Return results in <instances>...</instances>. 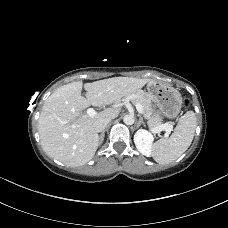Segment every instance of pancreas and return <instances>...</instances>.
Returning a JSON list of instances; mask_svg holds the SVG:
<instances>
[{
	"mask_svg": "<svg viewBox=\"0 0 228 228\" xmlns=\"http://www.w3.org/2000/svg\"><path fill=\"white\" fill-rule=\"evenodd\" d=\"M132 95L127 96L133 104L139 103L143 107V113L144 117L147 120L148 127L150 130L154 132V130L161 125V118L158 114L154 112V106L152 104V100L143 92L138 91ZM171 126L169 122L165 123ZM154 133H160V132H154Z\"/></svg>",
	"mask_w": 228,
	"mask_h": 228,
	"instance_id": "pancreas-1",
	"label": "pancreas"
}]
</instances>
